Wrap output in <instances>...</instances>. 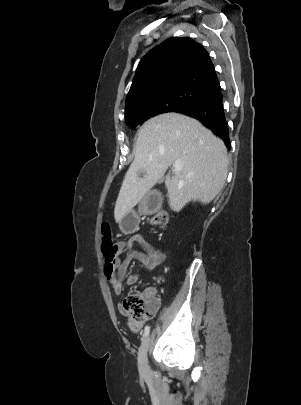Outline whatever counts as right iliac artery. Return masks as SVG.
<instances>
[{"label":"right iliac artery","mask_w":301,"mask_h":405,"mask_svg":"<svg viewBox=\"0 0 301 405\" xmlns=\"http://www.w3.org/2000/svg\"><path fill=\"white\" fill-rule=\"evenodd\" d=\"M149 332H150V327L146 326L144 329V337H147L149 335Z\"/></svg>","instance_id":"1"}]
</instances>
